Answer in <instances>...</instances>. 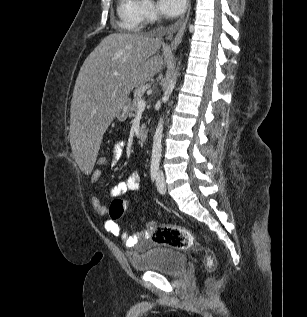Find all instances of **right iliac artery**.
<instances>
[{
  "mask_svg": "<svg viewBox=\"0 0 307 317\" xmlns=\"http://www.w3.org/2000/svg\"><path fill=\"white\" fill-rule=\"evenodd\" d=\"M158 173H159V168L157 166H153L150 169V175H151V180L154 182L155 180H157L158 177Z\"/></svg>",
  "mask_w": 307,
  "mask_h": 317,
  "instance_id": "obj_1",
  "label": "right iliac artery"
}]
</instances>
